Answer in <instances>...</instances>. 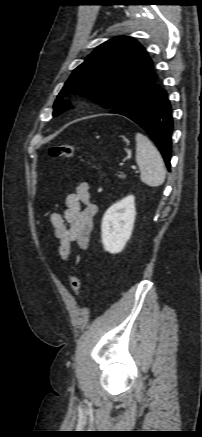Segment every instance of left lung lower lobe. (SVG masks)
Masks as SVG:
<instances>
[{"mask_svg":"<svg viewBox=\"0 0 202 437\" xmlns=\"http://www.w3.org/2000/svg\"><path fill=\"white\" fill-rule=\"evenodd\" d=\"M140 125L155 142L170 171L173 120L166 91L154 82L144 91L111 109Z\"/></svg>","mask_w":202,"mask_h":437,"instance_id":"0a47b994","label":"left lung lower lobe"}]
</instances>
